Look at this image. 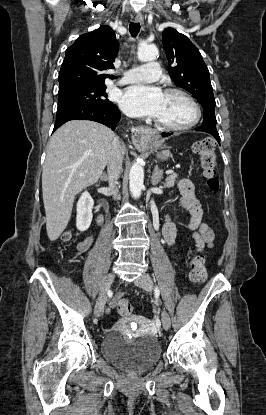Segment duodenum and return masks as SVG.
Instances as JSON below:
<instances>
[{
  "instance_id": "duodenum-1",
  "label": "duodenum",
  "mask_w": 266,
  "mask_h": 415,
  "mask_svg": "<svg viewBox=\"0 0 266 415\" xmlns=\"http://www.w3.org/2000/svg\"><path fill=\"white\" fill-rule=\"evenodd\" d=\"M103 221V217L100 215V216H98V218H97V222L98 223H101Z\"/></svg>"
}]
</instances>
